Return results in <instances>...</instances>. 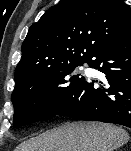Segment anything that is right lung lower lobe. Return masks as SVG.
Listing matches in <instances>:
<instances>
[{"label": "right lung lower lobe", "mask_w": 131, "mask_h": 151, "mask_svg": "<svg viewBox=\"0 0 131 151\" xmlns=\"http://www.w3.org/2000/svg\"><path fill=\"white\" fill-rule=\"evenodd\" d=\"M88 64L106 75V83L94 88L84 80L57 115L131 128V33L97 49Z\"/></svg>", "instance_id": "right-lung-lower-lobe-1"}]
</instances>
